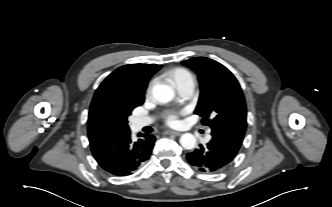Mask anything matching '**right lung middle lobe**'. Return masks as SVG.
<instances>
[{"label":"right lung middle lobe","mask_w":332,"mask_h":207,"mask_svg":"<svg viewBox=\"0 0 332 207\" xmlns=\"http://www.w3.org/2000/svg\"><path fill=\"white\" fill-rule=\"evenodd\" d=\"M144 100L130 101L122 100L115 108L109 110L103 114V122L115 134H121L129 130L127 118L131 114V111L142 105Z\"/></svg>","instance_id":"obj_1"}]
</instances>
